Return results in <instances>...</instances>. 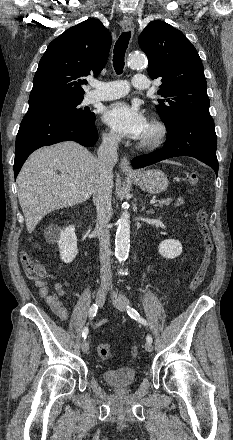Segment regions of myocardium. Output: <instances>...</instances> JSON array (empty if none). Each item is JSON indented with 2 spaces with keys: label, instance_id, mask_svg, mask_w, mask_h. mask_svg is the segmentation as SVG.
I'll list each match as a JSON object with an SVG mask.
<instances>
[{
  "label": "myocardium",
  "instance_id": "myocardium-1",
  "mask_svg": "<svg viewBox=\"0 0 233 440\" xmlns=\"http://www.w3.org/2000/svg\"><path fill=\"white\" fill-rule=\"evenodd\" d=\"M148 125L152 129V134L149 137L142 138L138 146L144 150H153L158 148L166 139L167 127L157 118H152Z\"/></svg>",
  "mask_w": 233,
  "mask_h": 440
}]
</instances>
